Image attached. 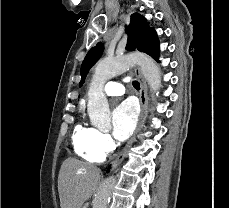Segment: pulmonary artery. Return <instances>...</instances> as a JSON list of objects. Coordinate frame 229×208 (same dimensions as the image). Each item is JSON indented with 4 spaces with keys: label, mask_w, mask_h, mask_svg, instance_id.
<instances>
[{
    "label": "pulmonary artery",
    "mask_w": 229,
    "mask_h": 208,
    "mask_svg": "<svg viewBox=\"0 0 229 208\" xmlns=\"http://www.w3.org/2000/svg\"><path fill=\"white\" fill-rule=\"evenodd\" d=\"M113 78L114 77L109 78V80L103 87V92L108 96L123 95L124 94V84L130 82L131 78L129 76H125L121 80H112Z\"/></svg>",
    "instance_id": "obj_1"
}]
</instances>
